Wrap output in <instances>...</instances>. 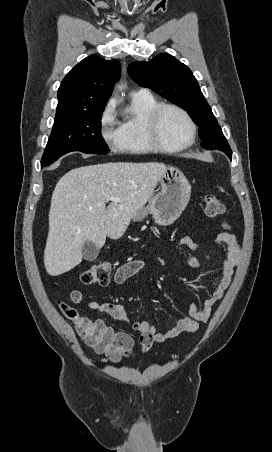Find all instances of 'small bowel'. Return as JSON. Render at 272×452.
<instances>
[{
  "instance_id": "c3829d8e",
  "label": "small bowel",
  "mask_w": 272,
  "mask_h": 452,
  "mask_svg": "<svg viewBox=\"0 0 272 452\" xmlns=\"http://www.w3.org/2000/svg\"><path fill=\"white\" fill-rule=\"evenodd\" d=\"M223 228L224 230L219 233L216 239V244L223 250V258L221 260L220 278L215 288L202 306L199 307L197 304L192 303L188 314L181 317L172 328L159 332L154 325L146 321L133 322L121 303L89 301L86 303L87 308L107 313L122 324L131 326L139 335L143 350H148L153 344L163 343L182 333L195 331L200 323H204L210 318L214 306L223 298L226 289L232 281L235 269L241 260V249L235 235L230 231V226L224 223ZM179 243L187 263L193 267L200 266V259L191 253L199 248V244L188 235L182 236ZM146 266L147 262L144 260L127 261L116 269L114 281L117 284H123ZM71 300L75 304H80L84 301V295L80 290H73L71 292ZM70 308V312L63 311V313L71 321L78 335L97 352L104 353L99 344L106 337L113 339L123 354L127 355L132 351L133 339L128 333L106 326L101 319H92L80 315L72 306Z\"/></svg>"
}]
</instances>
